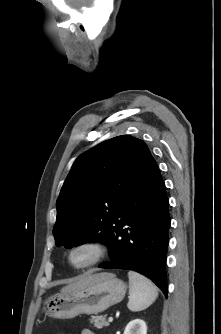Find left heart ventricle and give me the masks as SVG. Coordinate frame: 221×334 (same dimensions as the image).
I'll use <instances>...</instances> for the list:
<instances>
[{
	"label": "left heart ventricle",
	"instance_id": "1",
	"mask_svg": "<svg viewBox=\"0 0 221 334\" xmlns=\"http://www.w3.org/2000/svg\"><path fill=\"white\" fill-rule=\"evenodd\" d=\"M88 258V254L85 252H79L74 255V261L75 262H82Z\"/></svg>",
	"mask_w": 221,
	"mask_h": 334
}]
</instances>
